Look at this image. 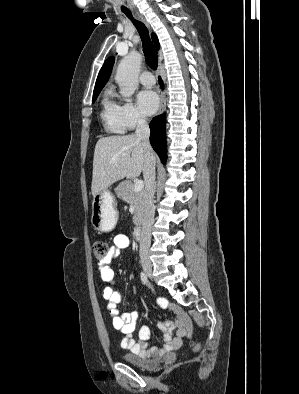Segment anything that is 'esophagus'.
I'll list each match as a JSON object with an SVG mask.
<instances>
[{"label":"esophagus","instance_id":"34e87169","mask_svg":"<svg viewBox=\"0 0 299 394\" xmlns=\"http://www.w3.org/2000/svg\"><path fill=\"white\" fill-rule=\"evenodd\" d=\"M142 21L148 26V24L142 19ZM165 108V95L164 93L161 91L160 92V106H159V114H161L163 112Z\"/></svg>","mask_w":299,"mask_h":394}]
</instances>
